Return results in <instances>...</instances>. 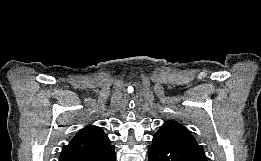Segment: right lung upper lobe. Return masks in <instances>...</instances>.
I'll use <instances>...</instances> for the list:
<instances>
[{"instance_id":"1","label":"right lung upper lobe","mask_w":261,"mask_h":161,"mask_svg":"<svg viewBox=\"0 0 261 161\" xmlns=\"http://www.w3.org/2000/svg\"><path fill=\"white\" fill-rule=\"evenodd\" d=\"M109 143L107 135L100 127L88 126L80 130L71 142L63 147L60 156L100 149Z\"/></svg>"}]
</instances>
